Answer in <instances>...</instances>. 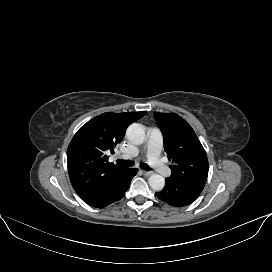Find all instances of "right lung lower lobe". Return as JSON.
I'll use <instances>...</instances> for the list:
<instances>
[{
  "label": "right lung lower lobe",
  "instance_id": "98d812e1",
  "mask_svg": "<svg viewBox=\"0 0 272 272\" xmlns=\"http://www.w3.org/2000/svg\"><path fill=\"white\" fill-rule=\"evenodd\" d=\"M137 171V168H123L104 183L80 197L92 207H106L123 198L130 186L131 179L137 174Z\"/></svg>",
  "mask_w": 272,
  "mask_h": 272
}]
</instances>
